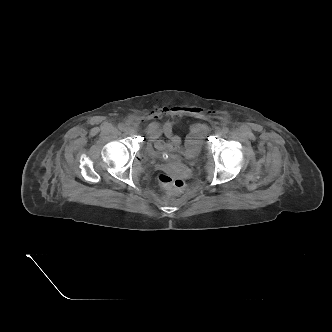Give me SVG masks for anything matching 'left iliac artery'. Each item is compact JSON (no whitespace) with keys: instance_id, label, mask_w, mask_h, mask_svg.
Returning a JSON list of instances; mask_svg holds the SVG:
<instances>
[{"instance_id":"1","label":"left iliac artery","mask_w":332,"mask_h":332,"mask_svg":"<svg viewBox=\"0 0 332 332\" xmlns=\"http://www.w3.org/2000/svg\"><path fill=\"white\" fill-rule=\"evenodd\" d=\"M222 131H223V133H228L229 132V128L228 127H223V129H222Z\"/></svg>"}]
</instances>
